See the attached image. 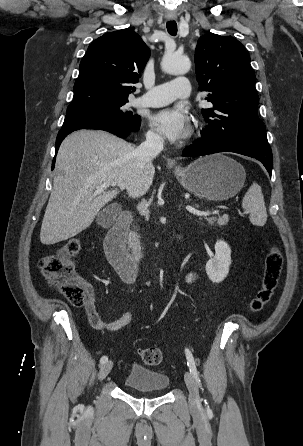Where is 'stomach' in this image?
I'll list each match as a JSON object with an SVG mask.
<instances>
[{"instance_id":"0dacf381","label":"stomach","mask_w":303,"mask_h":446,"mask_svg":"<svg viewBox=\"0 0 303 446\" xmlns=\"http://www.w3.org/2000/svg\"><path fill=\"white\" fill-rule=\"evenodd\" d=\"M174 173L185 189L211 201L235 196L246 179L244 167L223 154L200 157L187 167H177Z\"/></svg>"}]
</instances>
